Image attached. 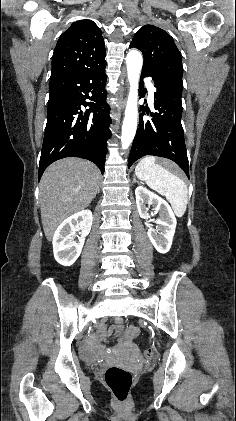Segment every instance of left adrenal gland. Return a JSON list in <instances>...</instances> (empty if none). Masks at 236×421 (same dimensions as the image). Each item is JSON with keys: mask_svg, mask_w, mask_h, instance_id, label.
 <instances>
[{"mask_svg": "<svg viewBox=\"0 0 236 421\" xmlns=\"http://www.w3.org/2000/svg\"><path fill=\"white\" fill-rule=\"evenodd\" d=\"M133 182H138V180H136V176H135V174H133L132 184H133Z\"/></svg>", "mask_w": 236, "mask_h": 421, "instance_id": "a2214340", "label": "left adrenal gland"}]
</instances>
